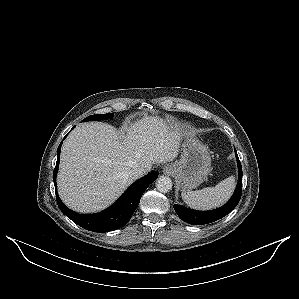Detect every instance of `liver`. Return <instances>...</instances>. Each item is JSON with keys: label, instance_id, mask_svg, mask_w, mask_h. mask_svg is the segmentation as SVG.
Segmentation results:
<instances>
[{"label": "liver", "instance_id": "liver-1", "mask_svg": "<svg viewBox=\"0 0 299 299\" xmlns=\"http://www.w3.org/2000/svg\"><path fill=\"white\" fill-rule=\"evenodd\" d=\"M124 130L121 135L106 123H82L64 141L57 184L69 208L79 213L101 211L133 183L130 170L150 171L154 164L178 155L182 135L171 120L146 116Z\"/></svg>", "mask_w": 299, "mask_h": 299}]
</instances>
